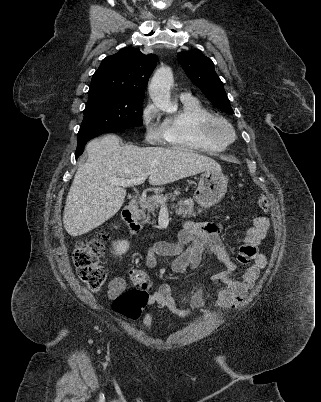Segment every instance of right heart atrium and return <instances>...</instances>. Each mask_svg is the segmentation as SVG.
<instances>
[{
    "label": "right heart atrium",
    "instance_id": "obj_1",
    "mask_svg": "<svg viewBox=\"0 0 321 402\" xmlns=\"http://www.w3.org/2000/svg\"><path fill=\"white\" fill-rule=\"evenodd\" d=\"M159 111L149 102L142 110L141 119L145 128V137L150 143H158L163 139V127L158 123Z\"/></svg>",
    "mask_w": 321,
    "mask_h": 402
}]
</instances>
